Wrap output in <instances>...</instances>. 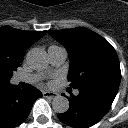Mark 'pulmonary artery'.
Listing matches in <instances>:
<instances>
[{
  "instance_id": "pulmonary-artery-1",
  "label": "pulmonary artery",
  "mask_w": 128,
  "mask_h": 128,
  "mask_svg": "<svg viewBox=\"0 0 128 128\" xmlns=\"http://www.w3.org/2000/svg\"><path fill=\"white\" fill-rule=\"evenodd\" d=\"M50 62L54 66L62 65L67 58L66 49L58 46H51L48 50ZM39 77L37 75H19L15 77V82H35L38 81ZM79 93L78 90L74 91V94L77 95Z\"/></svg>"
}]
</instances>
